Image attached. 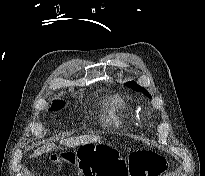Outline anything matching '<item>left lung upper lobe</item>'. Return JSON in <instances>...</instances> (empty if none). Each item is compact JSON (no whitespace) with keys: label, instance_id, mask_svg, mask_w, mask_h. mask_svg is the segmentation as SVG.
Here are the masks:
<instances>
[{"label":"left lung upper lobe","instance_id":"left-lung-upper-lobe-1","mask_svg":"<svg viewBox=\"0 0 205 176\" xmlns=\"http://www.w3.org/2000/svg\"><path fill=\"white\" fill-rule=\"evenodd\" d=\"M126 85L135 91L143 92L145 95L151 98V95L149 94V92L145 90L143 87L136 84L134 81L126 82Z\"/></svg>","mask_w":205,"mask_h":176}]
</instances>
